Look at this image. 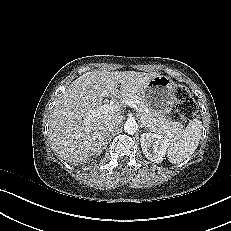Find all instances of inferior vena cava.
I'll use <instances>...</instances> for the list:
<instances>
[{
    "label": "inferior vena cava",
    "instance_id": "602c4592",
    "mask_svg": "<svg viewBox=\"0 0 231 231\" xmlns=\"http://www.w3.org/2000/svg\"><path fill=\"white\" fill-rule=\"evenodd\" d=\"M121 119L119 118H111L109 120H107L105 122V127L107 131H112L113 129H115L119 123H120Z\"/></svg>",
    "mask_w": 231,
    "mask_h": 231
}]
</instances>
